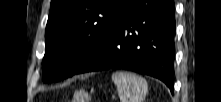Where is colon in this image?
Listing matches in <instances>:
<instances>
[{
	"mask_svg": "<svg viewBox=\"0 0 221 102\" xmlns=\"http://www.w3.org/2000/svg\"><path fill=\"white\" fill-rule=\"evenodd\" d=\"M89 94L85 90H78L73 97V102H89Z\"/></svg>",
	"mask_w": 221,
	"mask_h": 102,
	"instance_id": "colon-1",
	"label": "colon"
}]
</instances>
